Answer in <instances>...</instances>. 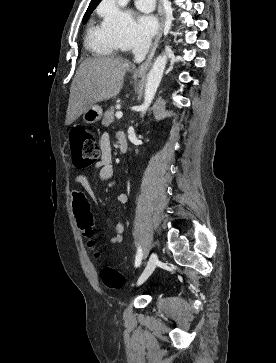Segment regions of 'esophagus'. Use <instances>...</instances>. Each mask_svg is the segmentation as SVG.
<instances>
[{"mask_svg":"<svg viewBox=\"0 0 276 363\" xmlns=\"http://www.w3.org/2000/svg\"><path fill=\"white\" fill-rule=\"evenodd\" d=\"M159 14H160V28H159V32L154 40V43L151 47V50L149 52L148 58L146 59V61L140 65V67L137 70V73L139 74H144L148 71L151 62H152V58L154 56V53L156 51V48L158 47L160 38L162 36V32H163V27H164V20H165V10H164V6H163V2L162 0H160L159 3Z\"/></svg>","mask_w":276,"mask_h":363,"instance_id":"obj_1","label":"esophagus"}]
</instances>
